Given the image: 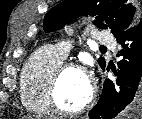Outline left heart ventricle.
I'll list each match as a JSON object with an SVG mask.
<instances>
[{
    "label": "left heart ventricle",
    "instance_id": "b2bd125f",
    "mask_svg": "<svg viewBox=\"0 0 142 119\" xmlns=\"http://www.w3.org/2000/svg\"><path fill=\"white\" fill-rule=\"evenodd\" d=\"M90 92L88 78L80 71L70 70L63 76L57 100L65 109H76L88 98Z\"/></svg>",
    "mask_w": 142,
    "mask_h": 119
}]
</instances>
